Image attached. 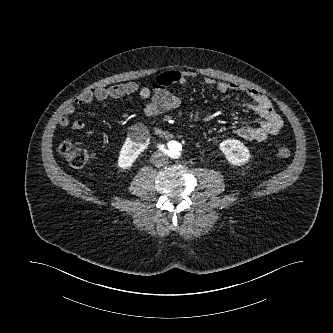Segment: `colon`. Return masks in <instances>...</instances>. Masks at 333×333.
Instances as JSON below:
<instances>
[{
	"label": "colon",
	"instance_id": "obj_1",
	"mask_svg": "<svg viewBox=\"0 0 333 333\" xmlns=\"http://www.w3.org/2000/svg\"><path fill=\"white\" fill-rule=\"evenodd\" d=\"M60 153L66 158L73 168H82L93 160V152L82 145L71 142H63L59 146ZM291 150L287 147H280L276 151V156L280 159L290 157Z\"/></svg>",
	"mask_w": 333,
	"mask_h": 333
}]
</instances>
